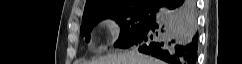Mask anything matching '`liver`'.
<instances>
[{"label":"liver","instance_id":"1","mask_svg":"<svg viewBox=\"0 0 242 64\" xmlns=\"http://www.w3.org/2000/svg\"><path fill=\"white\" fill-rule=\"evenodd\" d=\"M187 26L190 29L196 30V20H188ZM84 64H163V62L153 57L139 53L138 51L132 50L121 54L96 58L91 61H87Z\"/></svg>","mask_w":242,"mask_h":64}]
</instances>
